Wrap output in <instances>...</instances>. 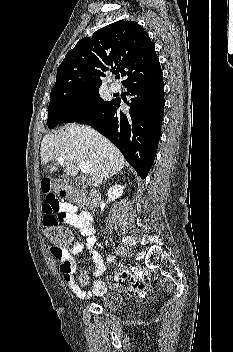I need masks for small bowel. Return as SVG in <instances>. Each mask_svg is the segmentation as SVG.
Returning <instances> with one entry per match:
<instances>
[{
  "label": "small bowel",
  "instance_id": "1",
  "mask_svg": "<svg viewBox=\"0 0 233 352\" xmlns=\"http://www.w3.org/2000/svg\"><path fill=\"white\" fill-rule=\"evenodd\" d=\"M61 187L62 184L59 181L49 179L42 182L43 223L56 222L68 224L78 229L83 236V240L76 242L68 249H59L51 246L50 252L60 262L59 269L70 291L77 298L88 300L93 296L102 295L107 288V283L104 280L95 279L91 291H85L80 288L74 279L76 263L73 256L86 249L90 258L95 263L96 267L93 275L96 278L104 273L106 265L101 254L95 249L96 231L92 225L91 215L85 211L78 212L77 206L70 202L61 201L58 198L59 193L60 196H64ZM109 279L110 277L106 278V280Z\"/></svg>",
  "mask_w": 233,
  "mask_h": 352
}]
</instances>
